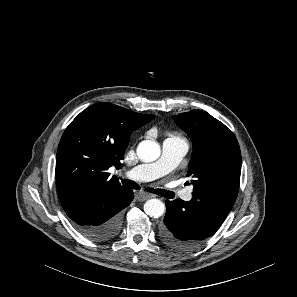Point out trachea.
Returning <instances> with one entry per match:
<instances>
[{"instance_id":"trachea-1","label":"trachea","mask_w":297,"mask_h":297,"mask_svg":"<svg viewBox=\"0 0 297 297\" xmlns=\"http://www.w3.org/2000/svg\"><path fill=\"white\" fill-rule=\"evenodd\" d=\"M122 183L125 187L131 188V189H140V186L133 181L122 179ZM146 191L157 194V195L165 197V198H169V199H172L175 197V194L173 192L166 191L163 189L146 188Z\"/></svg>"}]
</instances>
